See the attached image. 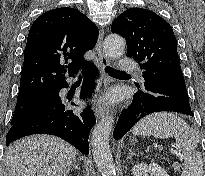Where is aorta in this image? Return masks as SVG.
Instances as JSON below:
<instances>
[{
  "instance_id": "762f6f07",
  "label": "aorta",
  "mask_w": 205,
  "mask_h": 176,
  "mask_svg": "<svg viewBox=\"0 0 205 176\" xmlns=\"http://www.w3.org/2000/svg\"><path fill=\"white\" fill-rule=\"evenodd\" d=\"M103 49L109 58L118 59L124 54L125 40L120 35L110 34L103 42ZM113 125L114 118L106 117L96 125L92 132V154L102 176L115 175V165L109 146V135Z\"/></svg>"
}]
</instances>
